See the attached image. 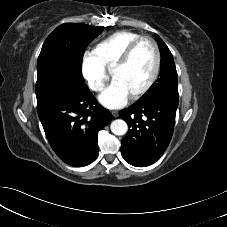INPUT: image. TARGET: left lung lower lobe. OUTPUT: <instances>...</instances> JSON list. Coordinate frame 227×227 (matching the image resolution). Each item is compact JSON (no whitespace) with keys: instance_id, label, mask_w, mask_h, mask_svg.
<instances>
[{"instance_id":"left-lung-lower-lobe-1","label":"left lung lower lobe","mask_w":227,"mask_h":227,"mask_svg":"<svg viewBox=\"0 0 227 227\" xmlns=\"http://www.w3.org/2000/svg\"><path fill=\"white\" fill-rule=\"evenodd\" d=\"M177 107L178 101L158 96L119 112L129 127L121 142L126 162L146 167L162 156L173 134Z\"/></svg>"}]
</instances>
